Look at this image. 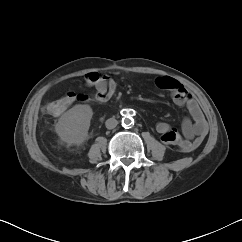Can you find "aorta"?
Wrapping results in <instances>:
<instances>
[{"instance_id":"1","label":"aorta","mask_w":242,"mask_h":242,"mask_svg":"<svg viewBox=\"0 0 242 242\" xmlns=\"http://www.w3.org/2000/svg\"><path fill=\"white\" fill-rule=\"evenodd\" d=\"M122 116V126L124 128L130 127L132 124H134V119L130 110L125 111Z\"/></svg>"}]
</instances>
